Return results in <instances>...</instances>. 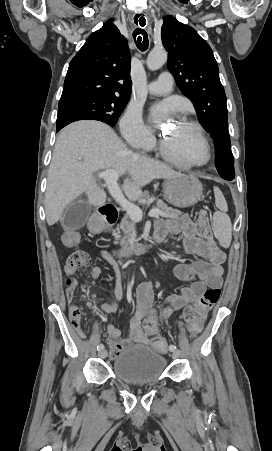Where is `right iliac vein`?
Segmentation results:
<instances>
[{
  "instance_id": "right-iliac-vein-1",
  "label": "right iliac vein",
  "mask_w": 272,
  "mask_h": 451,
  "mask_svg": "<svg viewBox=\"0 0 272 451\" xmlns=\"http://www.w3.org/2000/svg\"><path fill=\"white\" fill-rule=\"evenodd\" d=\"M98 355H99L100 358H106L107 351L105 349H102V350L99 351Z\"/></svg>"
}]
</instances>
